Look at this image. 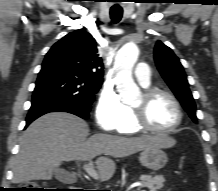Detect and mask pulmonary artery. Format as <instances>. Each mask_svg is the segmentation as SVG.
Wrapping results in <instances>:
<instances>
[{
    "label": "pulmonary artery",
    "instance_id": "1",
    "mask_svg": "<svg viewBox=\"0 0 218 191\" xmlns=\"http://www.w3.org/2000/svg\"><path fill=\"white\" fill-rule=\"evenodd\" d=\"M135 76L143 86L149 85L151 79V70L148 64L143 62L138 63L135 71Z\"/></svg>",
    "mask_w": 218,
    "mask_h": 191
}]
</instances>
